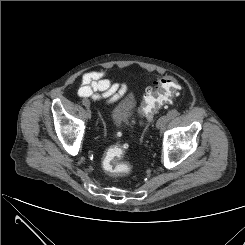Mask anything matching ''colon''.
<instances>
[{
    "instance_id": "colon-1",
    "label": "colon",
    "mask_w": 245,
    "mask_h": 245,
    "mask_svg": "<svg viewBox=\"0 0 245 245\" xmlns=\"http://www.w3.org/2000/svg\"><path fill=\"white\" fill-rule=\"evenodd\" d=\"M178 84L172 77H163L155 85L145 91L140 106V113L148 120H152L160 107L166 106L175 96ZM125 148L121 145L110 148L102 160L103 170L112 176H124L131 167L128 163L121 162Z\"/></svg>"
}]
</instances>
